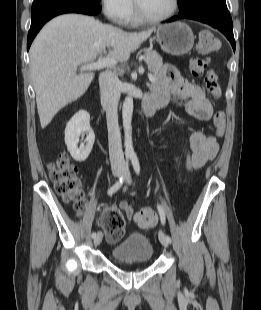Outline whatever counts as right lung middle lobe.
<instances>
[{"label": "right lung middle lobe", "mask_w": 261, "mask_h": 310, "mask_svg": "<svg viewBox=\"0 0 261 310\" xmlns=\"http://www.w3.org/2000/svg\"><path fill=\"white\" fill-rule=\"evenodd\" d=\"M47 1H51V0H34L32 7L38 6L44 2ZM79 1H83V2H89V3H95V4H99L100 0H79Z\"/></svg>", "instance_id": "dd1d6c3e"}]
</instances>
